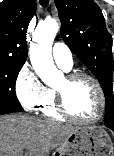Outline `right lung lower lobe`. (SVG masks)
Segmentation results:
<instances>
[{
    "label": "right lung lower lobe",
    "instance_id": "right-lung-lower-lobe-1",
    "mask_svg": "<svg viewBox=\"0 0 114 156\" xmlns=\"http://www.w3.org/2000/svg\"><path fill=\"white\" fill-rule=\"evenodd\" d=\"M12 112H15V111L0 110V115H2V114H7V113H12Z\"/></svg>",
    "mask_w": 114,
    "mask_h": 156
}]
</instances>
